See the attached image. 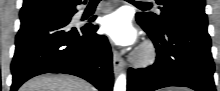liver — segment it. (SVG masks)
Wrapping results in <instances>:
<instances>
[{"mask_svg":"<svg viewBox=\"0 0 220 91\" xmlns=\"http://www.w3.org/2000/svg\"><path fill=\"white\" fill-rule=\"evenodd\" d=\"M19 91H96V89L85 80L72 75L45 74L30 79Z\"/></svg>","mask_w":220,"mask_h":91,"instance_id":"6515ba94","label":"liver"}]
</instances>
